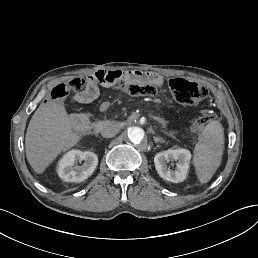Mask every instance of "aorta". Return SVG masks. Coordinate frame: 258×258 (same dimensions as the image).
Here are the masks:
<instances>
[{"instance_id":"762f6f07","label":"aorta","mask_w":258,"mask_h":258,"mask_svg":"<svg viewBox=\"0 0 258 258\" xmlns=\"http://www.w3.org/2000/svg\"><path fill=\"white\" fill-rule=\"evenodd\" d=\"M145 137V132L142 128L131 126L127 129V138L134 144H140Z\"/></svg>"}]
</instances>
